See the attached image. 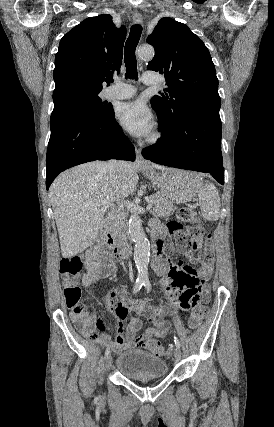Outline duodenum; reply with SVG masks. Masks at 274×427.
Returning <instances> with one entry per match:
<instances>
[{
	"mask_svg": "<svg viewBox=\"0 0 274 427\" xmlns=\"http://www.w3.org/2000/svg\"><path fill=\"white\" fill-rule=\"evenodd\" d=\"M164 230L161 228L155 229L153 231V253L156 257L162 255L164 250ZM98 245L110 247L111 254L113 258L117 261H120L127 257L128 255V246L127 244L119 241H115L110 233V221L108 220L105 226L101 229L100 235L98 238Z\"/></svg>",
	"mask_w": 274,
	"mask_h": 427,
	"instance_id": "obj_1",
	"label": "duodenum"
}]
</instances>
